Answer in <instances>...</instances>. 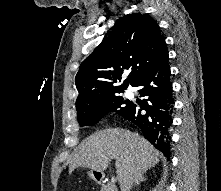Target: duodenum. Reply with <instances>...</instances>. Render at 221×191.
<instances>
[{"label": "duodenum", "mask_w": 221, "mask_h": 191, "mask_svg": "<svg viewBox=\"0 0 221 191\" xmlns=\"http://www.w3.org/2000/svg\"><path fill=\"white\" fill-rule=\"evenodd\" d=\"M98 178H99V181L103 180V177L101 175Z\"/></svg>", "instance_id": "1"}]
</instances>
